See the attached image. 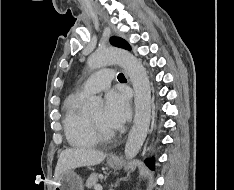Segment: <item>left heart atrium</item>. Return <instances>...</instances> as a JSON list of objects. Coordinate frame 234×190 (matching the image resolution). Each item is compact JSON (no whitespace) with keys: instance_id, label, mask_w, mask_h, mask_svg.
I'll return each mask as SVG.
<instances>
[{"instance_id":"left-heart-atrium-1","label":"left heart atrium","mask_w":234,"mask_h":190,"mask_svg":"<svg viewBox=\"0 0 234 190\" xmlns=\"http://www.w3.org/2000/svg\"><path fill=\"white\" fill-rule=\"evenodd\" d=\"M130 116V104L126 94L116 91L107 93L105 98L104 118L114 129L122 127Z\"/></svg>"}]
</instances>
